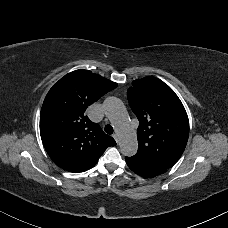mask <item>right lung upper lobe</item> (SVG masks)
I'll use <instances>...</instances> for the list:
<instances>
[{
  "label": "right lung upper lobe",
  "instance_id": "right-lung-upper-lobe-1",
  "mask_svg": "<svg viewBox=\"0 0 228 228\" xmlns=\"http://www.w3.org/2000/svg\"><path fill=\"white\" fill-rule=\"evenodd\" d=\"M114 83L89 70H76L61 78L48 92L40 113V134L55 164L69 172H82L116 145L100 126L85 114L86 108Z\"/></svg>",
  "mask_w": 228,
  "mask_h": 228
}]
</instances>
